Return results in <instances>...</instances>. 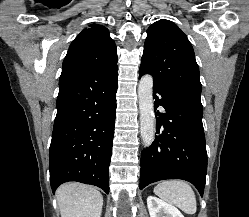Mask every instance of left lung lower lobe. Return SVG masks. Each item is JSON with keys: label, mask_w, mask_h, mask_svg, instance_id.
<instances>
[{"label": "left lung lower lobe", "mask_w": 249, "mask_h": 217, "mask_svg": "<svg viewBox=\"0 0 249 217\" xmlns=\"http://www.w3.org/2000/svg\"><path fill=\"white\" fill-rule=\"evenodd\" d=\"M144 74L139 71L140 76ZM153 98L159 135L142 152L140 189L160 180L183 179L191 182L203 196L207 152L200 94L154 82ZM159 106L165 109L164 113L156 111Z\"/></svg>", "instance_id": "1"}]
</instances>
